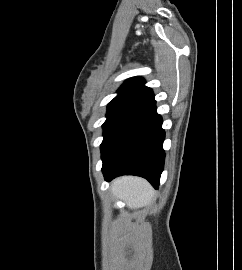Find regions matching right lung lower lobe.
<instances>
[{
	"mask_svg": "<svg viewBox=\"0 0 242 270\" xmlns=\"http://www.w3.org/2000/svg\"><path fill=\"white\" fill-rule=\"evenodd\" d=\"M155 103L153 99L137 107L102 154L105 180L124 174L137 175L158 188L165 159V132Z\"/></svg>",
	"mask_w": 242,
	"mask_h": 270,
	"instance_id": "1",
	"label": "right lung lower lobe"
}]
</instances>
